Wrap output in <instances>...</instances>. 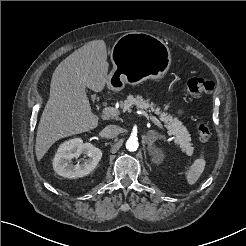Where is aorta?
Listing matches in <instances>:
<instances>
[{
  "mask_svg": "<svg viewBox=\"0 0 246 246\" xmlns=\"http://www.w3.org/2000/svg\"><path fill=\"white\" fill-rule=\"evenodd\" d=\"M126 149L128 151H136L139 147V142L136 138H129L127 141H126Z\"/></svg>",
  "mask_w": 246,
  "mask_h": 246,
  "instance_id": "aorta-1",
  "label": "aorta"
}]
</instances>
